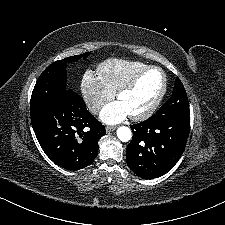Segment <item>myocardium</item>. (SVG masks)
I'll return each instance as SVG.
<instances>
[{"label": "myocardium", "mask_w": 225, "mask_h": 225, "mask_svg": "<svg viewBox=\"0 0 225 225\" xmlns=\"http://www.w3.org/2000/svg\"><path fill=\"white\" fill-rule=\"evenodd\" d=\"M149 70H156L161 73L162 79H163L162 87H161L159 94L153 101V103L144 112H142L138 115H130V118L134 121H142V120L149 118L158 108V106L161 103V101L166 93V90H167V77H166L165 72L163 71L162 68L155 66V65L146 66V67L142 68L138 73H136L125 85H123L116 92V98L119 100V98L122 95L133 90L136 87L139 80L141 79V77Z\"/></svg>", "instance_id": "myocardium-1"}]
</instances>
